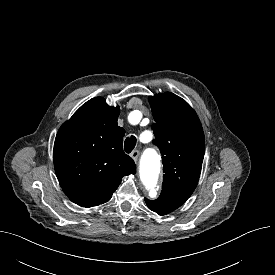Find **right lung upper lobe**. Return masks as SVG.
Listing matches in <instances>:
<instances>
[{"label":"right lung upper lobe","instance_id":"obj_1","mask_svg":"<svg viewBox=\"0 0 275 275\" xmlns=\"http://www.w3.org/2000/svg\"><path fill=\"white\" fill-rule=\"evenodd\" d=\"M119 111L102 97L92 98L57 133L55 172L64 193L81 207L109 201L122 177L136 172L133 159L123 152Z\"/></svg>","mask_w":275,"mask_h":275}]
</instances>
